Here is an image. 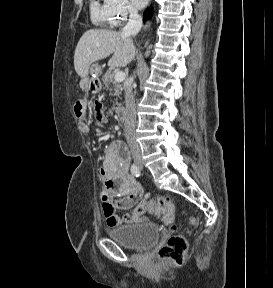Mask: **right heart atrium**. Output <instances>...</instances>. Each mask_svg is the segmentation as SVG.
<instances>
[{
    "label": "right heart atrium",
    "mask_w": 273,
    "mask_h": 288,
    "mask_svg": "<svg viewBox=\"0 0 273 288\" xmlns=\"http://www.w3.org/2000/svg\"><path fill=\"white\" fill-rule=\"evenodd\" d=\"M112 25L118 26L137 14L129 0H104Z\"/></svg>",
    "instance_id": "right-heart-atrium-1"
}]
</instances>
